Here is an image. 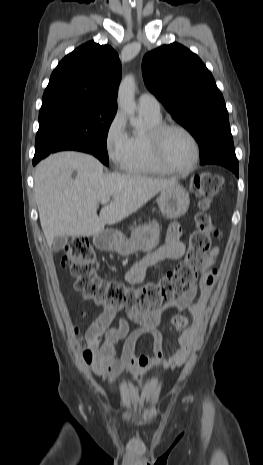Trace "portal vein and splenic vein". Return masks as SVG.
<instances>
[{
	"label": "portal vein and splenic vein",
	"mask_w": 263,
	"mask_h": 465,
	"mask_svg": "<svg viewBox=\"0 0 263 465\" xmlns=\"http://www.w3.org/2000/svg\"><path fill=\"white\" fill-rule=\"evenodd\" d=\"M109 201H110L109 198L102 199V200H101V204H107V203H109Z\"/></svg>",
	"instance_id": "1"
}]
</instances>
